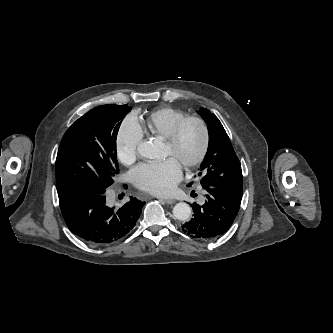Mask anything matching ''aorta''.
Masks as SVG:
<instances>
[{
    "mask_svg": "<svg viewBox=\"0 0 333 333\" xmlns=\"http://www.w3.org/2000/svg\"><path fill=\"white\" fill-rule=\"evenodd\" d=\"M137 152L142 157L154 159L158 155V148L152 141H144L138 145ZM173 215L177 220L186 221L191 216V207L187 203H177Z\"/></svg>",
    "mask_w": 333,
    "mask_h": 333,
    "instance_id": "obj_1",
    "label": "aorta"
}]
</instances>
